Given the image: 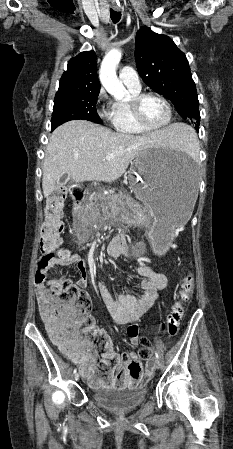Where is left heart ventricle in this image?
<instances>
[{"label":"left heart ventricle","instance_id":"b2bd125f","mask_svg":"<svg viewBox=\"0 0 233 449\" xmlns=\"http://www.w3.org/2000/svg\"><path fill=\"white\" fill-rule=\"evenodd\" d=\"M142 116L150 125L163 124L168 116V111L164 103L155 97H147L141 105Z\"/></svg>","mask_w":233,"mask_h":449}]
</instances>
